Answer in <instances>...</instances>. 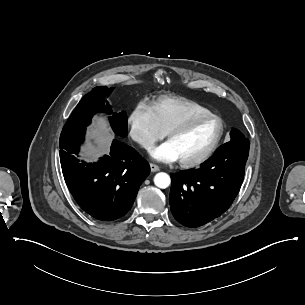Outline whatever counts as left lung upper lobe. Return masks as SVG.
Masks as SVG:
<instances>
[{"mask_svg": "<svg viewBox=\"0 0 305 305\" xmlns=\"http://www.w3.org/2000/svg\"><path fill=\"white\" fill-rule=\"evenodd\" d=\"M231 140L229 142L241 141L246 139L244 135L237 129H233L230 133Z\"/></svg>", "mask_w": 305, "mask_h": 305, "instance_id": "5c2ea615", "label": "left lung upper lobe"}]
</instances>
